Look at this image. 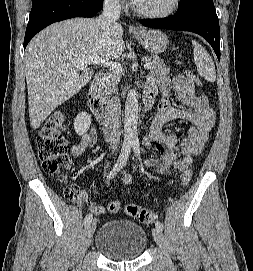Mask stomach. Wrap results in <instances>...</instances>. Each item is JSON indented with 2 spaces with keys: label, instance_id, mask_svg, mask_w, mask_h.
<instances>
[{
  "label": "stomach",
  "instance_id": "1",
  "mask_svg": "<svg viewBox=\"0 0 253 271\" xmlns=\"http://www.w3.org/2000/svg\"><path fill=\"white\" fill-rule=\"evenodd\" d=\"M137 41L150 53L164 52L169 44L168 37L160 30H142L135 33Z\"/></svg>",
  "mask_w": 253,
  "mask_h": 271
}]
</instances>
